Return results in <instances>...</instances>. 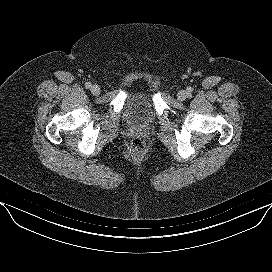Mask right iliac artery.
Returning a JSON list of instances; mask_svg holds the SVG:
<instances>
[{
  "label": "right iliac artery",
  "instance_id": "1",
  "mask_svg": "<svg viewBox=\"0 0 272 272\" xmlns=\"http://www.w3.org/2000/svg\"><path fill=\"white\" fill-rule=\"evenodd\" d=\"M85 87L86 88H90L91 87V83L90 82L85 83Z\"/></svg>",
  "mask_w": 272,
  "mask_h": 272
}]
</instances>
